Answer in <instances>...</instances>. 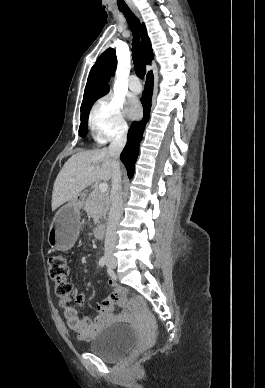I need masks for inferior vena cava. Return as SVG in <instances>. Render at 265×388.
<instances>
[{
    "label": "inferior vena cava",
    "mask_w": 265,
    "mask_h": 388,
    "mask_svg": "<svg viewBox=\"0 0 265 388\" xmlns=\"http://www.w3.org/2000/svg\"><path fill=\"white\" fill-rule=\"evenodd\" d=\"M127 142V132L117 134L108 148V154L112 160V188L110 194V212L107 222V230L104 244L105 258H112L116 244V230L123 214V198L121 194V172L119 156Z\"/></svg>",
    "instance_id": "obj_1"
}]
</instances>
